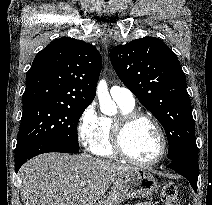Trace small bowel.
<instances>
[{
	"mask_svg": "<svg viewBox=\"0 0 212 205\" xmlns=\"http://www.w3.org/2000/svg\"><path fill=\"white\" fill-rule=\"evenodd\" d=\"M136 205H154L152 203H147V202H144V203H139V204H136Z\"/></svg>",
	"mask_w": 212,
	"mask_h": 205,
	"instance_id": "c3829d8e",
	"label": "small bowel"
}]
</instances>
